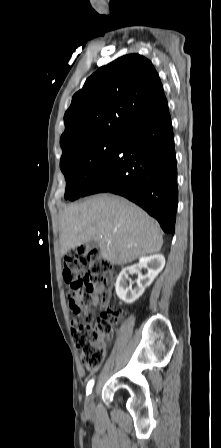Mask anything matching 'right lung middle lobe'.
Returning <instances> with one entry per match:
<instances>
[{
  "label": "right lung middle lobe",
  "instance_id": "obj_1",
  "mask_svg": "<svg viewBox=\"0 0 221 448\" xmlns=\"http://www.w3.org/2000/svg\"><path fill=\"white\" fill-rule=\"evenodd\" d=\"M118 136L93 140L61 157L60 167L66 179L65 199L81 197L90 181L111 155Z\"/></svg>",
  "mask_w": 221,
  "mask_h": 448
}]
</instances>
